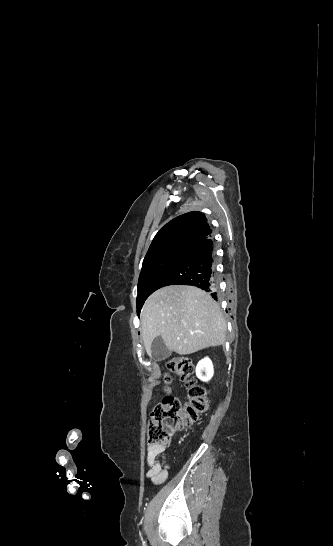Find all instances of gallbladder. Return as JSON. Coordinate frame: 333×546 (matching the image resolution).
<instances>
[{
    "label": "gallbladder",
    "mask_w": 333,
    "mask_h": 546,
    "mask_svg": "<svg viewBox=\"0 0 333 546\" xmlns=\"http://www.w3.org/2000/svg\"><path fill=\"white\" fill-rule=\"evenodd\" d=\"M152 358L156 361L166 359L171 355V351L165 346L161 336H157L151 345Z\"/></svg>",
    "instance_id": "bac80fb5"
}]
</instances>
